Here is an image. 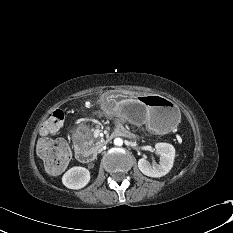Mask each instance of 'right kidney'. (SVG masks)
<instances>
[{
    "label": "right kidney",
    "instance_id": "right-kidney-1",
    "mask_svg": "<svg viewBox=\"0 0 233 233\" xmlns=\"http://www.w3.org/2000/svg\"><path fill=\"white\" fill-rule=\"evenodd\" d=\"M90 181L88 169L75 166L69 169L62 177V183L69 189H81Z\"/></svg>",
    "mask_w": 233,
    "mask_h": 233
}]
</instances>
